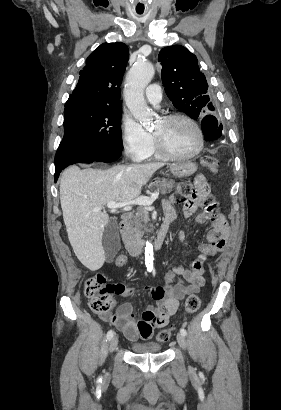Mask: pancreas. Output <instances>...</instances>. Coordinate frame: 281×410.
<instances>
[{
    "label": "pancreas",
    "instance_id": "cf45deb5",
    "mask_svg": "<svg viewBox=\"0 0 281 410\" xmlns=\"http://www.w3.org/2000/svg\"><path fill=\"white\" fill-rule=\"evenodd\" d=\"M174 186V180L161 179L154 182L151 187L153 191H160L161 194L165 195L170 193ZM149 221V212L145 206H139L135 213H129L127 215L124 239L128 241L140 237L144 230H146Z\"/></svg>",
    "mask_w": 281,
    "mask_h": 410
}]
</instances>
